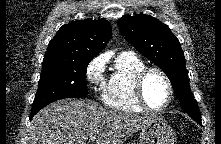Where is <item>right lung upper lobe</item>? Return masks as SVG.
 <instances>
[{
	"mask_svg": "<svg viewBox=\"0 0 221 144\" xmlns=\"http://www.w3.org/2000/svg\"><path fill=\"white\" fill-rule=\"evenodd\" d=\"M111 25L104 19L72 21L49 42L43 61H90L111 39Z\"/></svg>",
	"mask_w": 221,
	"mask_h": 144,
	"instance_id": "1",
	"label": "right lung upper lobe"
}]
</instances>
